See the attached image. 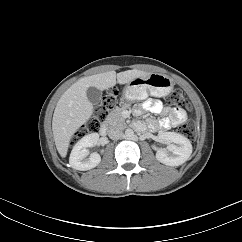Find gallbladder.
<instances>
[{
  "label": "gallbladder",
  "mask_w": 242,
  "mask_h": 242,
  "mask_svg": "<svg viewBox=\"0 0 242 242\" xmlns=\"http://www.w3.org/2000/svg\"><path fill=\"white\" fill-rule=\"evenodd\" d=\"M87 97L94 106H99L101 104V93L97 88L89 87L87 89Z\"/></svg>",
  "instance_id": "1"
}]
</instances>
